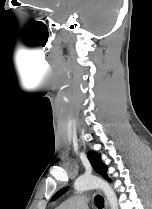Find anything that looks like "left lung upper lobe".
Returning <instances> with one entry per match:
<instances>
[{
  "mask_svg": "<svg viewBox=\"0 0 152 209\" xmlns=\"http://www.w3.org/2000/svg\"><path fill=\"white\" fill-rule=\"evenodd\" d=\"M88 159L90 161V163L92 164L93 168L95 169V171L100 174L101 176H103L106 180L110 181V179L107 176V167L106 165L101 161L100 156L94 152V151H89L88 152ZM67 187L59 190L52 198V200L58 198L60 195H62L63 193H65L67 191Z\"/></svg>",
  "mask_w": 152,
  "mask_h": 209,
  "instance_id": "5c2ea615",
  "label": "left lung upper lobe"
}]
</instances>
